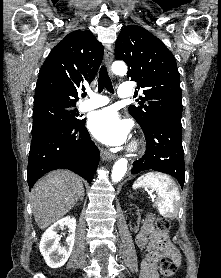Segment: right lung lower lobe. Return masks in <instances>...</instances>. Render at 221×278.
<instances>
[{"label": "right lung lower lobe", "mask_w": 221, "mask_h": 278, "mask_svg": "<svg viewBox=\"0 0 221 278\" xmlns=\"http://www.w3.org/2000/svg\"><path fill=\"white\" fill-rule=\"evenodd\" d=\"M100 152L85 127V119L75 126L52 125L32 134L27 180L29 188L45 173L69 169L89 183L97 169Z\"/></svg>", "instance_id": "right-lung-lower-lobe-1"}]
</instances>
